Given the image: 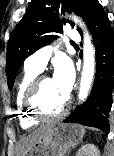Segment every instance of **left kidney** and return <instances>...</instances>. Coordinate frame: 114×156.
I'll return each instance as SVG.
<instances>
[{
	"mask_svg": "<svg viewBox=\"0 0 114 156\" xmlns=\"http://www.w3.org/2000/svg\"><path fill=\"white\" fill-rule=\"evenodd\" d=\"M76 156H100V151L94 144L88 143L77 151Z\"/></svg>",
	"mask_w": 114,
	"mask_h": 156,
	"instance_id": "obj_1",
	"label": "left kidney"
}]
</instances>
